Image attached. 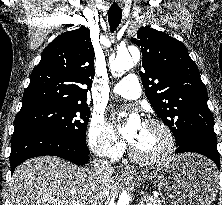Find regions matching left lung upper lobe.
<instances>
[{"mask_svg":"<svg viewBox=\"0 0 222 205\" xmlns=\"http://www.w3.org/2000/svg\"><path fill=\"white\" fill-rule=\"evenodd\" d=\"M131 42L142 50L145 95L176 143L193 135L217 140L205 85L185 45L148 26L140 28Z\"/></svg>","mask_w":222,"mask_h":205,"instance_id":"5c2ea615","label":"left lung upper lobe"}]
</instances>
